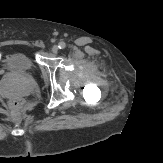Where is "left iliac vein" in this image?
Returning <instances> with one entry per match:
<instances>
[{"instance_id":"1","label":"left iliac vein","mask_w":163,"mask_h":163,"mask_svg":"<svg viewBox=\"0 0 163 163\" xmlns=\"http://www.w3.org/2000/svg\"><path fill=\"white\" fill-rule=\"evenodd\" d=\"M58 51H59L58 46H57V45H54V46L52 47V52H53L54 54H56Z\"/></svg>"}]
</instances>
